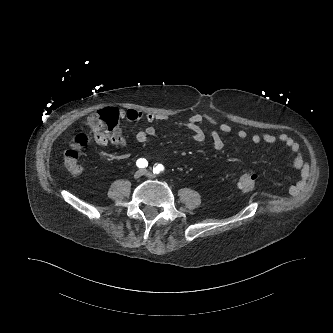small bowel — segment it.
<instances>
[{
  "label": "small bowel",
  "mask_w": 333,
  "mask_h": 333,
  "mask_svg": "<svg viewBox=\"0 0 333 333\" xmlns=\"http://www.w3.org/2000/svg\"><path fill=\"white\" fill-rule=\"evenodd\" d=\"M123 118L128 119L131 122H138L140 120H145L148 125L140 130L135 139L138 143H145L150 137L156 134V128L153 126L155 122H164L168 119L165 114H155V113H147L143 114L142 112L135 109H128L121 113ZM202 123H208L212 126L210 131V138L212 142V147L215 151H222L225 147V142L223 135L231 134L233 132V128L231 125L227 123H221L217 121L212 116L206 113H196L189 116L185 120H175L174 125L177 127L187 128L190 130V139L194 142L200 143L205 140V132L201 129L200 125ZM236 136L241 139H247L248 133L247 131L240 129L236 132ZM250 140L253 144L259 145L261 143L266 144H275L280 142L289 148L293 155L294 166L297 169H301L302 175L305 176L307 173V164L304 160L303 154L301 152L300 144L292 138L287 133L281 132L278 134L272 133H263V134H253L250 136ZM112 143L115 145H119L122 147L127 146V141L122 136L121 131L118 129L116 134L108 139L105 135H100L96 139V144L100 148H105L108 144ZM256 179L257 176L253 172H249ZM303 183V180H300L297 184L292 186V191H296L299 186Z\"/></svg>",
  "instance_id": "c3829d8e"
}]
</instances>
